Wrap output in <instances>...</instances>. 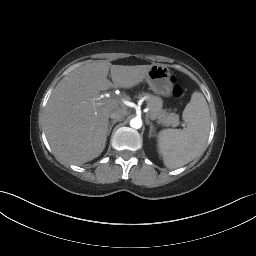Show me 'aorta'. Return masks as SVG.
<instances>
[{
    "label": "aorta",
    "mask_w": 256,
    "mask_h": 256,
    "mask_svg": "<svg viewBox=\"0 0 256 256\" xmlns=\"http://www.w3.org/2000/svg\"><path fill=\"white\" fill-rule=\"evenodd\" d=\"M130 126L134 129H140L142 127V120L140 118H133L130 121Z\"/></svg>",
    "instance_id": "obj_1"
}]
</instances>
